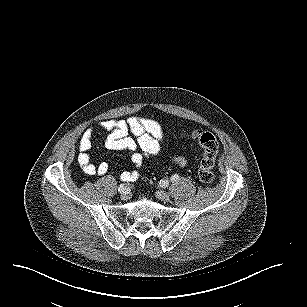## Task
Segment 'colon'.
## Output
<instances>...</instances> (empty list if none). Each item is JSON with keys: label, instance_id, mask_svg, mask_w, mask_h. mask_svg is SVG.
I'll return each instance as SVG.
<instances>
[{"label": "colon", "instance_id": "5ec220e1", "mask_svg": "<svg viewBox=\"0 0 307 307\" xmlns=\"http://www.w3.org/2000/svg\"><path fill=\"white\" fill-rule=\"evenodd\" d=\"M202 149L203 155L198 169V177L201 182L210 184L214 181L213 167L218 154L219 146L216 138L210 132L196 130L187 135Z\"/></svg>", "mask_w": 307, "mask_h": 307}]
</instances>
